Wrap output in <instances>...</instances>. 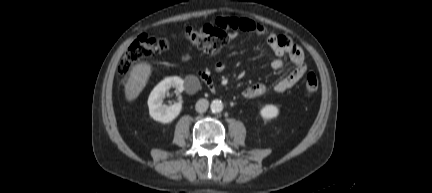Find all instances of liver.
Segmentation results:
<instances>
[{
    "label": "liver",
    "mask_w": 432,
    "mask_h": 193,
    "mask_svg": "<svg viewBox=\"0 0 432 193\" xmlns=\"http://www.w3.org/2000/svg\"><path fill=\"white\" fill-rule=\"evenodd\" d=\"M151 67L146 63H139L133 67L130 77L125 84V98L131 102L136 99L146 86Z\"/></svg>",
    "instance_id": "6515ba94"
}]
</instances>
